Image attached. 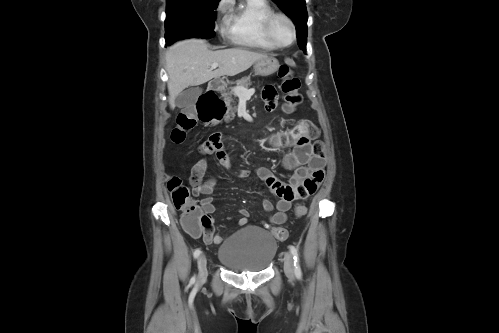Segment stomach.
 Here are the masks:
<instances>
[{
    "label": "stomach",
    "mask_w": 499,
    "mask_h": 333,
    "mask_svg": "<svg viewBox=\"0 0 499 333\" xmlns=\"http://www.w3.org/2000/svg\"><path fill=\"white\" fill-rule=\"evenodd\" d=\"M279 68L278 60L273 57H267L255 62L254 72L259 76H269Z\"/></svg>",
    "instance_id": "obj_1"
}]
</instances>
